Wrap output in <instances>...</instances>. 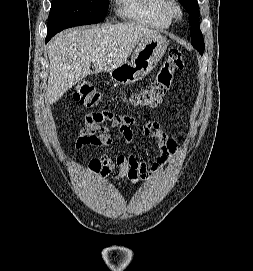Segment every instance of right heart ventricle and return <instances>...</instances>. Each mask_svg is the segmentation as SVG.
<instances>
[{"label":"right heart ventricle","instance_id":"obj_1","mask_svg":"<svg viewBox=\"0 0 253 271\" xmlns=\"http://www.w3.org/2000/svg\"><path fill=\"white\" fill-rule=\"evenodd\" d=\"M119 12L127 19L156 29H166L171 19L166 12L167 0H117Z\"/></svg>","mask_w":253,"mask_h":271}]
</instances>
